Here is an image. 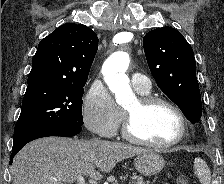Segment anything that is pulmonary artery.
I'll use <instances>...</instances> for the list:
<instances>
[{"instance_id":"1","label":"pulmonary artery","mask_w":224,"mask_h":184,"mask_svg":"<svg viewBox=\"0 0 224 184\" xmlns=\"http://www.w3.org/2000/svg\"><path fill=\"white\" fill-rule=\"evenodd\" d=\"M132 85L138 92H148L151 88V82L147 76L142 73L135 72L131 74Z\"/></svg>"}]
</instances>
